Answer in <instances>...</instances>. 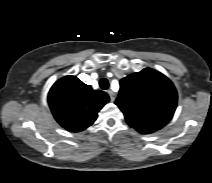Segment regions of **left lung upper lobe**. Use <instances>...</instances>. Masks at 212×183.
<instances>
[{
    "label": "left lung upper lobe",
    "instance_id": "1",
    "mask_svg": "<svg viewBox=\"0 0 212 183\" xmlns=\"http://www.w3.org/2000/svg\"><path fill=\"white\" fill-rule=\"evenodd\" d=\"M115 104L131 127L141 134H149L161 129L172 118L177 92L165 75L145 68L120 81Z\"/></svg>",
    "mask_w": 212,
    "mask_h": 183
}]
</instances>
